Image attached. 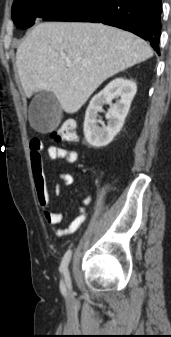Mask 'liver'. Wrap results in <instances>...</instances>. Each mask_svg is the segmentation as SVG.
Returning <instances> with one entry per match:
<instances>
[{"label": "liver", "instance_id": "liver-1", "mask_svg": "<svg viewBox=\"0 0 171 337\" xmlns=\"http://www.w3.org/2000/svg\"><path fill=\"white\" fill-rule=\"evenodd\" d=\"M152 56L146 41L115 27L45 22L19 45L16 64L27 97L52 92L61 108L73 114L107 78ZM67 60L73 67H67Z\"/></svg>", "mask_w": 171, "mask_h": 337}]
</instances>
